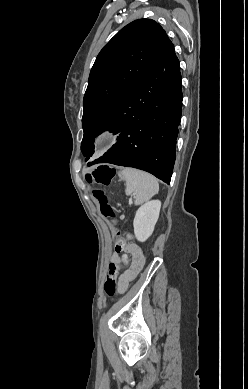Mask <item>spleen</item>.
Returning a JSON list of instances; mask_svg holds the SVG:
<instances>
[{
  "label": "spleen",
  "instance_id": "spleen-1",
  "mask_svg": "<svg viewBox=\"0 0 248 389\" xmlns=\"http://www.w3.org/2000/svg\"><path fill=\"white\" fill-rule=\"evenodd\" d=\"M122 177L126 181V194L135 195V204L141 205L144 202L151 199L159 191V184L157 179L144 171L125 168L122 173Z\"/></svg>",
  "mask_w": 248,
  "mask_h": 389
}]
</instances>
